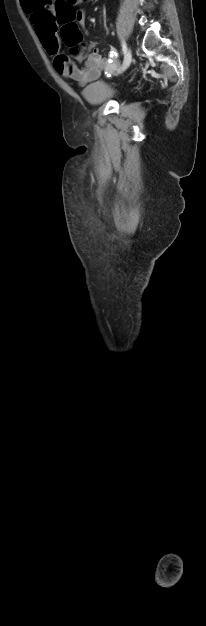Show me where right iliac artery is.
I'll return each mask as SVG.
<instances>
[{
    "label": "right iliac artery",
    "instance_id": "1",
    "mask_svg": "<svg viewBox=\"0 0 206 626\" xmlns=\"http://www.w3.org/2000/svg\"><path fill=\"white\" fill-rule=\"evenodd\" d=\"M122 51H123L124 54L127 51V46H126V43L124 41L122 42Z\"/></svg>",
    "mask_w": 206,
    "mask_h": 626
}]
</instances>
